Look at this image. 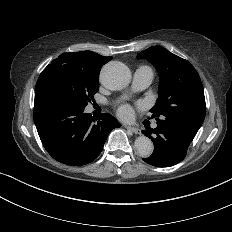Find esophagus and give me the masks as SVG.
<instances>
[{"instance_id":"34e87169","label":"esophagus","mask_w":232,"mask_h":232,"mask_svg":"<svg viewBox=\"0 0 232 232\" xmlns=\"http://www.w3.org/2000/svg\"><path fill=\"white\" fill-rule=\"evenodd\" d=\"M126 128H127L128 130H130L131 132L135 133V134H140V133H141V130L138 129V128L130 127V126H127Z\"/></svg>"}]
</instances>
